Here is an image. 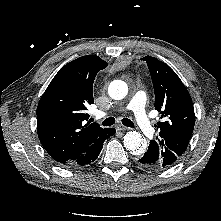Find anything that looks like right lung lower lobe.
<instances>
[{
	"mask_svg": "<svg viewBox=\"0 0 221 221\" xmlns=\"http://www.w3.org/2000/svg\"><path fill=\"white\" fill-rule=\"evenodd\" d=\"M114 134H115L114 128L110 129L105 128L101 132L100 136L94 141V143L91 144L82 154H80V156H78L73 161H68L66 163H63V166L67 168H74V167L86 166L91 162L95 161L102 150L104 141Z\"/></svg>",
	"mask_w": 221,
	"mask_h": 221,
	"instance_id": "1",
	"label": "right lung lower lobe"
}]
</instances>
